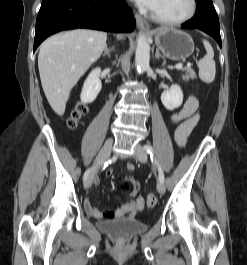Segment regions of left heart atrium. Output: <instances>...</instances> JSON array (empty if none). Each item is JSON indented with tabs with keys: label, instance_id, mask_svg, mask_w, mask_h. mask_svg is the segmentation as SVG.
I'll use <instances>...</instances> for the list:
<instances>
[{
	"label": "left heart atrium",
	"instance_id": "39dd6f15",
	"mask_svg": "<svg viewBox=\"0 0 247 265\" xmlns=\"http://www.w3.org/2000/svg\"><path fill=\"white\" fill-rule=\"evenodd\" d=\"M134 1L141 7L149 8V9H151L156 2V0H134Z\"/></svg>",
	"mask_w": 247,
	"mask_h": 265
}]
</instances>
